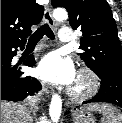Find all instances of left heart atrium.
Wrapping results in <instances>:
<instances>
[{"label": "left heart atrium", "instance_id": "obj_1", "mask_svg": "<svg viewBox=\"0 0 122 123\" xmlns=\"http://www.w3.org/2000/svg\"><path fill=\"white\" fill-rule=\"evenodd\" d=\"M37 75L44 81L56 85H72L76 80V73L72 62L60 54L52 52L42 58Z\"/></svg>", "mask_w": 122, "mask_h": 123}]
</instances>
